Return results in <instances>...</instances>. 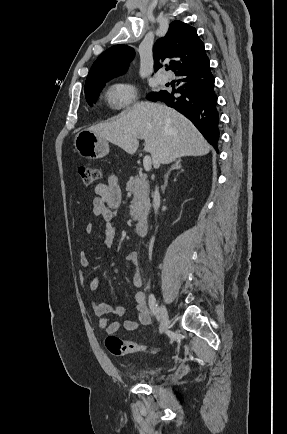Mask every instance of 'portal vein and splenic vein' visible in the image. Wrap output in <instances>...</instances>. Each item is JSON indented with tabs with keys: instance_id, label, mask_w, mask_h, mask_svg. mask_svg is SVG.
<instances>
[{
	"instance_id": "obj_1",
	"label": "portal vein and splenic vein",
	"mask_w": 287,
	"mask_h": 434,
	"mask_svg": "<svg viewBox=\"0 0 287 434\" xmlns=\"http://www.w3.org/2000/svg\"><path fill=\"white\" fill-rule=\"evenodd\" d=\"M143 166L146 172H149L151 170L152 162H151V157L149 155H146L143 158Z\"/></svg>"
}]
</instances>
